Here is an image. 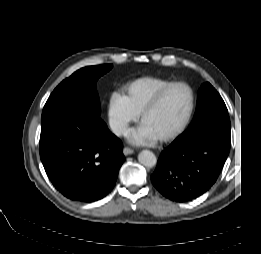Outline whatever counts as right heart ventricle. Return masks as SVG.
Listing matches in <instances>:
<instances>
[{
    "label": "right heart ventricle",
    "instance_id": "e07e8e85",
    "mask_svg": "<svg viewBox=\"0 0 261 254\" xmlns=\"http://www.w3.org/2000/svg\"><path fill=\"white\" fill-rule=\"evenodd\" d=\"M171 82L157 78H141L134 81L127 88L128 100L137 114Z\"/></svg>",
    "mask_w": 261,
    "mask_h": 254
}]
</instances>
